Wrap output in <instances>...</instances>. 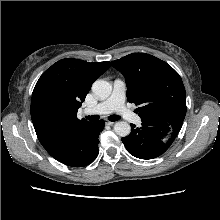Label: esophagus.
Wrapping results in <instances>:
<instances>
[{
	"label": "esophagus",
	"instance_id": "obj_1",
	"mask_svg": "<svg viewBox=\"0 0 220 220\" xmlns=\"http://www.w3.org/2000/svg\"><path fill=\"white\" fill-rule=\"evenodd\" d=\"M107 125H113L115 122H112V121H106L105 122Z\"/></svg>",
	"mask_w": 220,
	"mask_h": 220
}]
</instances>
